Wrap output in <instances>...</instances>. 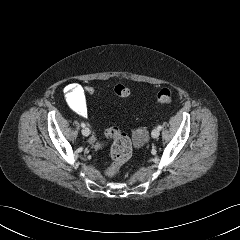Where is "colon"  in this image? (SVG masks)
<instances>
[{
	"label": "colon",
	"instance_id": "obj_1",
	"mask_svg": "<svg viewBox=\"0 0 240 240\" xmlns=\"http://www.w3.org/2000/svg\"><path fill=\"white\" fill-rule=\"evenodd\" d=\"M84 91L86 95L92 96L95 93V88L92 85H87L84 87ZM114 93L117 97L126 98L130 96L131 90L126 85L119 84L115 86ZM156 99L159 104H170L173 100V93L169 88H162ZM105 135L113 141L111 147L112 162L106 168L105 173L107 176L113 177L118 174L121 166L130 159L132 144L129 137L117 127L106 128Z\"/></svg>",
	"mask_w": 240,
	"mask_h": 240
}]
</instances>
